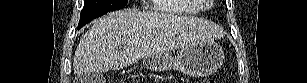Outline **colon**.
Listing matches in <instances>:
<instances>
[{"mask_svg": "<svg viewBox=\"0 0 307 83\" xmlns=\"http://www.w3.org/2000/svg\"><path fill=\"white\" fill-rule=\"evenodd\" d=\"M203 83H215L216 81L213 78H207L202 81Z\"/></svg>", "mask_w": 307, "mask_h": 83, "instance_id": "obj_1", "label": "colon"}]
</instances>
